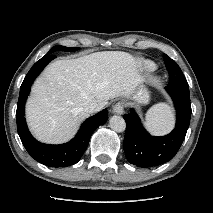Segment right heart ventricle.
I'll use <instances>...</instances> for the list:
<instances>
[{
    "label": "right heart ventricle",
    "instance_id": "1",
    "mask_svg": "<svg viewBox=\"0 0 213 213\" xmlns=\"http://www.w3.org/2000/svg\"><path fill=\"white\" fill-rule=\"evenodd\" d=\"M146 66H147V68L150 69V70H151V69H154V65H153L152 63H147Z\"/></svg>",
    "mask_w": 213,
    "mask_h": 213
}]
</instances>
